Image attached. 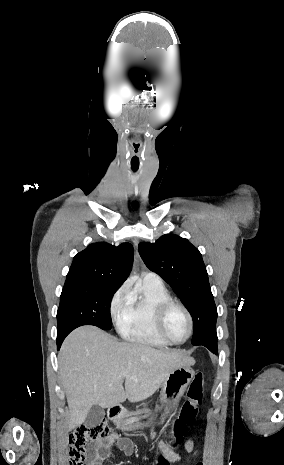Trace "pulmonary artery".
<instances>
[{
	"label": "pulmonary artery",
	"instance_id": "pulmonary-artery-1",
	"mask_svg": "<svg viewBox=\"0 0 284 465\" xmlns=\"http://www.w3.org/2000/svg\"><path fill=\"white\" fill-rule=\"evenodd\" d=\"M142 277L145 280L150 281V282H161L162 281L161 277L154 272H143Z\"/></svg>",
	"mask_w": 284,
	"mask_h": 465
}]
</instances>
